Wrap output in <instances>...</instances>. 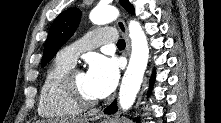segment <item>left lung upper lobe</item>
Instances as JSON below:
<instances>
[{"label":"left lung upper lobe","instance_id":"5c2ea615","mask_svg":"<svg viewBox=\"0 0 221 123\" xmlns=\"http://www.w3.org/2000/svg\"><path fill=\"white\" fill-rule=\"evenodd\" d=\"M122 6L130 13L134 14V7L129 0H120ZM81 11L78 8H71L62 12L54 20L48 38L44 46L42 67H44L73 35L81 20Z\"/></svg>","mask_w":221,"mask_h":123}]
</instances>
